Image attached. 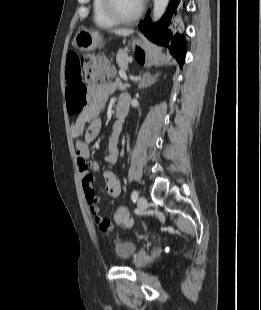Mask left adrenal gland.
<instances>
[{"label":"left adrenal gland","mask_w":261,"mask_h":310,"mask_svg":"<svg viewBox=\"0 0 261 310\" xmlns=\"http://www.w3.org/2000/svg\"><path fill=\"white\" fill-rule=\"evenodd\" d=\"M159 75V73H156L154 75H151L150 73L143 74L141 80L138 83V89L150 86L158 79Z\"/></svg>","instance_id":"a2214340"}]
</instances>
